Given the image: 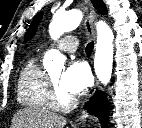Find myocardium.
Returning a JSON list of instances; mask_svg holds the SVG:
<instances>
[{"label":"myocardium","mask_w":142,"mask_h":128,"mask_svg":"<svg viewBox=\"0 0 142 128\" xmlns=\"http://www.w3.org/2000/svg\"><path fill=\"white\" fill-rule=\"evenodd\" d=\"M48 80L51 107L59 111L70 110L74 106L75 100L72 97H68L64 100L59 88L56 86L53 80L50 77H48Z\"/></svg>","instance_id":"f54148a6"}]
</instances>
